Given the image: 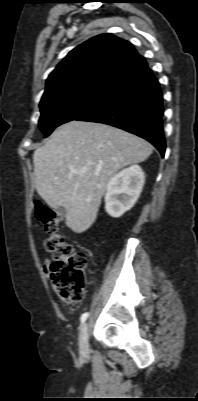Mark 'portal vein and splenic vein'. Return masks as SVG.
<instances>
[{
  "mask_svg": "<svg viewBox=\"0 0 198 401\" xmlns=\"http://www.w3.org/2000/svg\"><path fill=\"white\" fill-rule=\"evenodd\" d=\"M79 174L81 175V174H83V172H80Z\"/></svg>",
  "mask_w": 198,
  "mask_h": 401,
  "instance_id": "1",
  "label": "portal vein and splenic vein"
}]
</instances>
